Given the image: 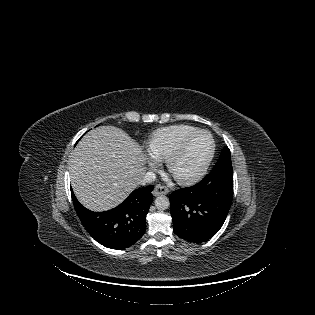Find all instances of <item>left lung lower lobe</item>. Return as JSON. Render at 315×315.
I'll list each match as a JSON object with an SVG mask.
<instances>
[{
	"mask_svg": "<svg viewBox=\"0 0 315 315\" xmlns=\"http://www.w3.org/2000/svg\"><path fill=\"white\" fill-rule=\"evenodd\" d=\"M233 198V176L211 179L174 191L170 208L174 233L188 242L202 243L222 227Z\"/></svg>",
	"mask_w": 315,
	"mask_h": 315,
	"instance_id": "left-lung-lower-lobe-1",
	"label": "left lung lower lobe"
}]
</instances>
